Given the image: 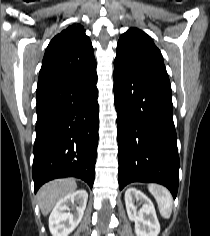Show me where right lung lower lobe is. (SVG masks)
I'll return each instance as SVG.
<instances>
[{"label": "right lung lower lobe", "instance_id": "98d812e1", "mask_svg": "<svg viewBox=\"0 0 210 236\" xmlns=\"http://www.w3.org/2000/svg\"><path fill=\"white\" fill-rule=\"evenodd\" d=\"M96 67L37 90L32 176L35 193L45 182L77 177L93 186L99 106Z\"/></svg>", "mask_w": 210, "mask_h": 236}]
</instances>
